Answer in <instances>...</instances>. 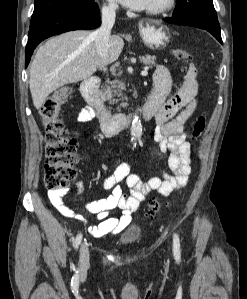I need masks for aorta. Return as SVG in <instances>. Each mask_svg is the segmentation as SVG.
Listing matches in <instances>:
<instances>
[{"label": "aorta", "instance_id": "aorta-1", "mask_svg": "<svg viewBox=\"0 0 247 299\" xmlns=\"http://www.w3.org/2000/svg\"><path fill=\"white\" fill-rule=\"evenodd\" d=\"M130 133H131V136H132L133 148H135L136 147V142L135 141L142 134L141 120L136 115L133 116V120H132V124H131V128H130Z\"/></svg>", "mask_w": 247, "mask_h": 299}]
</instances>
